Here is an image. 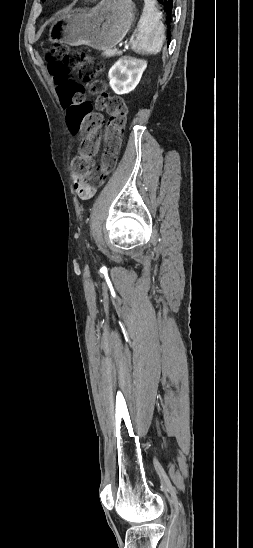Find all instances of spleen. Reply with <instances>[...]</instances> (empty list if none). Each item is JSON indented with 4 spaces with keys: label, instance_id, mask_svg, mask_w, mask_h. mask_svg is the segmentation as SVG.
Masks as SVG:
<instances>
[{
    "label": "spleen",
    "instance_id": "3e777b00",
    "mask_svg": "<svg viewBox=\"0 0 253 548\" xmlns=\"http://www.w3.org/2000/svg\"><path fill=\"white\" fill-rule=\"evenodd\" d=\"M145 6L138 23L139 34L132 43V49L140 54H157L165 39V27L161 22V12L155 0H144Z\"/></svg>",
    "mask_w": 253,
    "mask_h": 548
}]
</instances>
